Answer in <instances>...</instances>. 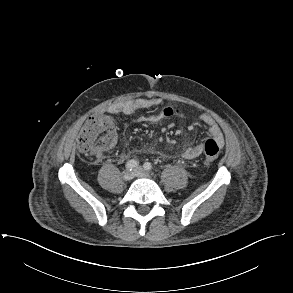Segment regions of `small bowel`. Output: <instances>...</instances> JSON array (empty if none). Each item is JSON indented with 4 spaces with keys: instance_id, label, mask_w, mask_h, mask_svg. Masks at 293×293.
Returning <instances> with one entry per match:
<instances>
[{
    "instance_id": "obj_1",
    "label": "small bowel",
    "mask_w": 293,
    "mask_h": 293,
    "mask_svg": "<svg viewBox=\"0 0 293 293\" xmlns=\"http://www.w3.org/2000/svg\"><path fill=\"white\" fill-rule=\"evenodd\" d=\"M155 105H157V103L153 99L137 98L133 100H127L122 103L113 104L108 107L107 111L114 115L130 116L138 110L147 109ZM166 116H169V114H167L164 111V113H159L149 117L141 118L139 119V121L153 124V123H157L161 121ZM199 119L204 125H206L210 137L216 140L218 144L220 145V147L224 146V143H225L224 136L222 134L220 127L216 123V121L207 114L200 115ZM203 151H204V143H198L194 146H190L184 149L182 152V156L185 159H194L200 156Z\"/></svg>"
}]
</instances>
